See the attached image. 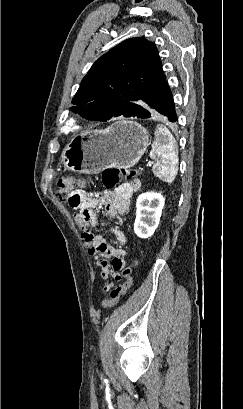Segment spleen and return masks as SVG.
Instances as JSON below:
<instances>
[{
  "mask_svg": "<svg viewBox=\"0 0 243 409\" xmlns=\"http://www.w3.org/2000/svg\"><path fill=\"white\" fill-rule=\"evenodd\" d=\"M154 134L155 140L150 151V157L155 160L153 174L171 183L177 175L179 161L175 138L163 125H157Z\"/></svg>",
  "mask_w": 243,
  "mask_h": 409,
  "instance_id": "3e777b00",
  "label": "spleen"
}]
</instances>
